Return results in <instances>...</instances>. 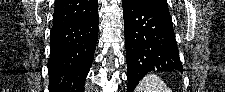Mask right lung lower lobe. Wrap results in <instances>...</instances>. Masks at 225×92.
Segmentation results:
<instances>
[{"instance_id": "1", "label": "right lung lower lobe", "mask_w": 225, "mask_h": 92, "mask_svg": "<svg viewBox=\"0 0 225 92\" xmlns=\"http://www.w3.org/2000/svg\"><path fill=\"white\" fill-rule=\"evenodd\" d=\"M98 34V11L70 23L52 27L50 34L49 88L83 92Z\"/></svg>"}]
</instances>
